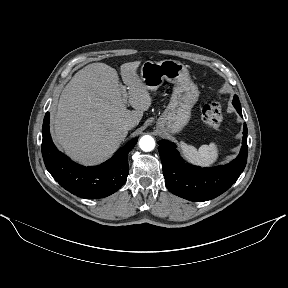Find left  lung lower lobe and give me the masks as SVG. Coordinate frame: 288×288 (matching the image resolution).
Masks as SVG:
<instances>
[{"mask_svg": "<svg viewBox=\"0 0 288 288\" xmlns=\"http://www.w3.org/2000/svg\"><path fill=\"white\" fill-rule=\"evenodd\" d=\"M242 116L241 106H234ZM243 141L239 155L226 165L201 168L185 163L175 144L158 142L165 184L173 194L190 201H207L228 190L239 178L247 162V126L243 127Z\"/></svg>", "mask_w": 288, "mask_h": 288, "instance_id": "0a47b994", "label": "left lung lower lobe"}]
</instances>
